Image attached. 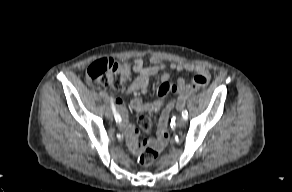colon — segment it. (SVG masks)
<instances>
[{"instance_id":"colon-1","label":"colon","mask_w":292,"mask_h":192,"mask_svg":"<svg viewBox=\"0 0 292 192\" xmlns=\"http://www.w3.org/2000/svg\"><path fill=\"white\" fill-rule=\"evenodd\" d=\"M129 76L130 66L125 62H119L112 58L96 60L89 65L86 71V78L91 84L103 87L110 86L115 89L121 88ZM139 124L143 130H147L151 124L150 118L147 115H141ZM158 155L159 151L155 146H145L138 156V162L142 166H150L156 161Z\"/></svg>"}]
</instances>
